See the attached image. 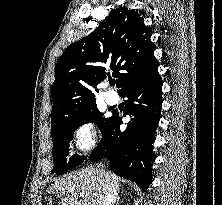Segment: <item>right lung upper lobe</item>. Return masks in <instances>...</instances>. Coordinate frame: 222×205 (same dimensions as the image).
<instances>
[{"mask_svg":"<svg viewBox=\"0 0 222 205\" xmlns=\"http://www.w3.org/2000/svg\"><path fill=\"white\" fill-rule=\"evenodd\" d=\"M152 29L136 11L112 10L91 34L70 45L56 64L51 87V123L69 117L95 103L94 91L106 69L118 78L119 92L132 80L158 67L151 42Z\"/></svg>","mask_w":222,"mask_h":205,"instance_id":"cb5924a9","label":"right lung upper lobe"}]
</instances>
